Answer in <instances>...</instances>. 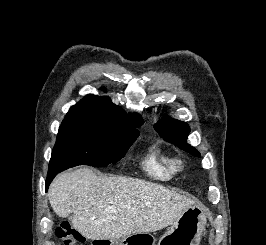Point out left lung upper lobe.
Instances as JSON below:
<instances>
[{"mask_svg":"<svg viewBox=\"0 0 266 245\" xmlns=\"http://www.w3.org/2000/svg\"><path fill=\"white\" fill-rule=\"evenodd\" d=\"M154 128L166 141L175 144L193 156L200 157V153L186 143L187 136L190 132V127L186 122L165 117L159 120L154 125Z\"/></svg>","mask_w":266,"mask_h":245,"instance_id":"5c2ea615","label":"left lung upper lobe"}]
</instances>
